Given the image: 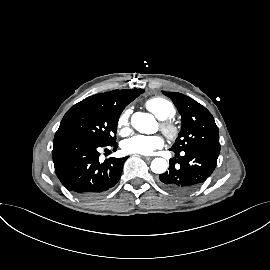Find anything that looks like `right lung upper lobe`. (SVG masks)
<instances>
[{
	"mask_svg": "<svg viewBox=\"0 0 270 270\" xmlns=\"http://www.w3.org/2000/svg\"><path fill=\"white\" fill-rule=\"evenodd\" d=\"M143 92V89L113 90L110 92L96 94L90 97L96 101L113 107L119 112H122L131 101H133Z\"/></svg>",
	"mask_w": 270,
	"mask_h": 270,
	"instance_id": "cb5924a9",
	"label": "right lung upper lobe"
}]
</instances>
